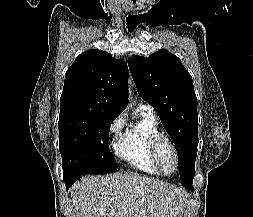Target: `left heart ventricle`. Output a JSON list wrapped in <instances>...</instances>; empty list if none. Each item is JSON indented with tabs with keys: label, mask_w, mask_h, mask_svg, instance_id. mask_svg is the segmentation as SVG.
I'll list each match as a JSON object with an SVG mask.
<instances>
[{
	"label": "left heart ventricle",
	"mask_w": 253,
	"mask_h": 217,
	"mask_svg": "<svg viewBox=\"0 0 253 217\" xmlns=\"http://www.w3.org/2000/svg\"><path fill=\"white\" fill-rule=\"evenodd\" d=\"M161 162L166 172H172L174 169V159L171 150L168 147H163L161 151Z\"/></svg>",
	"instance_id": "left-heart-ventricle-1"
}]
</instances>
